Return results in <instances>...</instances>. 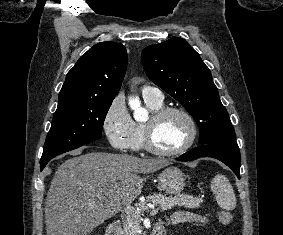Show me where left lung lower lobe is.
Wrapping results in <instances>:
<instances>
[{"instance_id":"1","label":"left lung lower lobe","mask_w":283,"mask_h":235,"mask_svg":"<svg viewBox=\"0 0 283 235\" xmlns=\"http://www.w3.org/2000/svg\"><path fill=\"white\" fill-rule=\"evenodd\" d=\"M216 158L229 166L240 179V151L236 141L216 142L191 149L178 157L179 161H190L198 157Z\"/></svg>"}]
</instances>
